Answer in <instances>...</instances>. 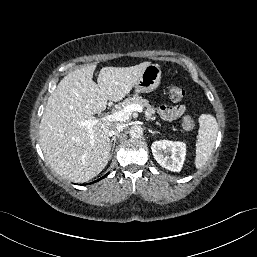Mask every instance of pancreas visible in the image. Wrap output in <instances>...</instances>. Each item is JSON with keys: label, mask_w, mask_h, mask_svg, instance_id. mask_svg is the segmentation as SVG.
<instances>
[{"label": "pancreas", "mask_w": 257, "mask_h": 257, "mask_svg": "<svg viewBox=\"0 0 257 257\" xmlns=\"http://www.w3.org/2000/svg\"><path fill=\"white\" fill-rule=\"evenodd\" d=\"M130 104L141 105L143 108H145L146 120H155V108L152 105H150L148 100L138 95H134L133 97L125 99L122 103L119 104V106L124 108L125 106Z\"/></svg>", "instance_id": "cf45deb5"}]
</instances>
